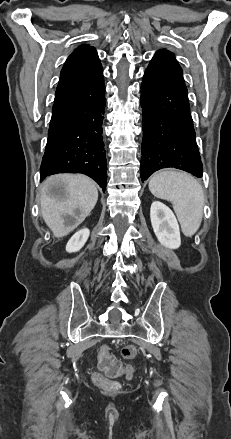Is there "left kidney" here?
<instances>
[{
  "mask_svg": "<svg viewBox=\"0 0 231 439\" xmlns=\"http://www.w3.org/2000/svg\"><path fill=\"white\" fill-rule=\"evenodd\" d=\"M153 231L158 241L170 249L181 245L180 230L174 213L165 204L154 201L150 209Z\"/></svg>",
  "mask_w": 231,
  "mask_h": 439,
  "instance_id": "left-kidney-1",
  "label": "left kidney"
}]
</instances>
